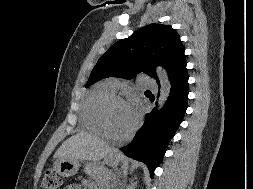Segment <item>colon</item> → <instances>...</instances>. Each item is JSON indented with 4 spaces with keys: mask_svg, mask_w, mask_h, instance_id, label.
Instances as JSON below:
<instances>
[{
    "mask_svg": "<svg viewBox=\"0 0 253 189\" xmlns=\"http://www.w3.org/2000/svg\"><path fill=\"white\" fill-rule=\"evenodd\" d=\"M61 178L52 170H48L42 180V189H59L61 186Z\"/></svg>",
    "mask_w": 253,
    "mask_h": 189,
    "instance_id": "1",
    "label": "colon"
}]
</instances>
